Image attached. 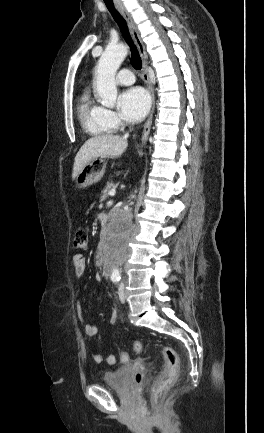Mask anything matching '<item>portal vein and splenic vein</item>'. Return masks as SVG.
Returning a JSON list of instances; mask_svg holds the SVG:
<instances>
[{
    "mask_svg": "<svg viewBox=\"0 0 264 433\" xmlns=\"http://www.w3.org/2000/svg\"><path fill=\"white\" fill-rule=\"evenodd\" d=\"M115 193H116L115 190H112V191L109 192V195H110V196H114Z\"/></svg>",
    "mask_w": 264,
    "mask_h": 433,
    "instance_id": "1",
    "label": "portal vein and splenic vein"
}]
</instances>
